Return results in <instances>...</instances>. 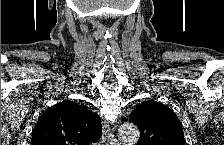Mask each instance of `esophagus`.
<instances>
[{"label":"esophagus","mask_w":224,"mask_h":145,"mask_svg":"<svg viewBox=\"0 0 224 145\" xmlns=\"http://www.w3.org/2000/svg\"><path fill=\"white\" fill-rule=\"evenodd\" d=\"M102 139L105 145H117L118 141L112 133L111 127L108 122L102 125Z\"/></svg>","instance_id":"34e87169"}]
</instances>
